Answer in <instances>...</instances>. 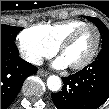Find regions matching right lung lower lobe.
<instances>
[{"label":"right lung lower lobe","instance_id":"98d812e1","mask_svg":"<svg viewBox=\"0 0 109 109\" xmlns=\"http://www.w3.org/2000/svg\"><path fill=\"white\" fill-rule=\"evenodd\" d=\"M37 68L19 57L16 46L1 42V109L15 99L25 79Z\"/></svg>","mask_w":109,"mask_h":109}]
</instances>
